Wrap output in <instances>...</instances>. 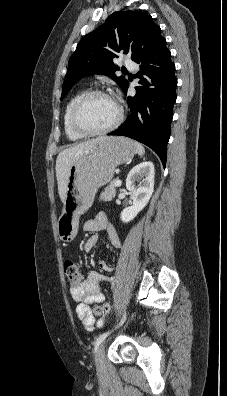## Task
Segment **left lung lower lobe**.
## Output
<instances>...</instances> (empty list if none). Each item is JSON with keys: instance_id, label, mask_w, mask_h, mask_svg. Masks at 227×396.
I'll list each match as a JSON object with an SVG mask.
<instances>
[{"instance_id": "obj_1", "label": "left lung lower lobe", "mask_w": 227, "mask_h": 396, "mask_svg": "<svg viewBox=\"0 0 227 396\" xmlns=\"http://www.w3.org/2000/svg\"><path fill=\"white\" fill-rule=\"evenodd\" d=\"M134 61L140 65L142 86L136 87L135 96L127 98L130 107L127 120L108 135L126 136L144 143L156 152L165 167L177 86L175 65L166 40L160 37ZM128 85L123 89L125 94Z\"/></svg>"}]
</instances>
